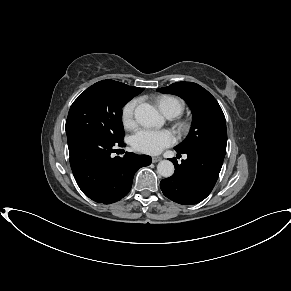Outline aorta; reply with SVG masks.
<instances>
[{
	"instance_id": "762f6f07",
	"label": "aorta",
	"mask_w": 291,
	"mask_h": 291,
	"mask_svg": "<svg viewBox=\"0 0 291 291\" xmlns=\"http://www.w3.org/2000/svg\"><path fill=\"white\" fill-rule=\"evenodd\" d=\"M134 116L136 121L144 127H154L163 123L159 112L148 103L139 104L135 108ZM157 172L162 177H171L174 173V165L169 160H162L157 165Z\"/></svg>"
}]
</instances>
